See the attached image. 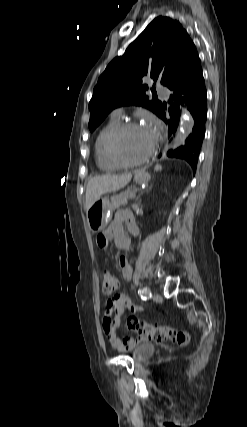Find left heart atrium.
I'll return each instance as SVG.
<instances>
[{"label":"left heart atrium","mask_w":247,"mask_h":427,"mask_svg":"<svg viewBox=\"0 0 247 427\" xmlns=\"http://www.w3.org/2000/svg\"><path fill=\"white\" fill-rule=\"evenodd\" d=\"M145 129L149 132V134L152 136L153 140L155 141L160 131L159 123L155 119L151 118L149 119Z\"/></svg>","instance_id":"obj_1"}]
</instances>
